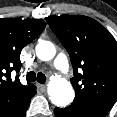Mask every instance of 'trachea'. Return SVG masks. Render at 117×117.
I'll list each match as a JSON object with an SVG mask.
<instances>
[{"label": "trachea", "instance_id": "1", "mask_svg": "<svg viewBox=\"0 0 117 117\" xmlns=\"http://www.w3.org/2000/svg\"><path fill=\"white\" fill-rule=\"evenodd\" d=\"M26 79H27V82L30 83V82H34L37 80V82L41 83V84H44L46 82V76L39 72L37 75L34 71H30L27 73L26 75Z\"/></svg>", "mask_w": 117, "mask_h": 117}]
</instances>
